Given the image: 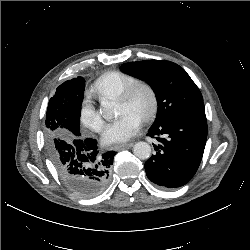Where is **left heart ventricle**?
<instances>
[{
  "mask_svg": "<svg viewBox=\"0 0 250 250\" xmlns=\"http://www.w3.org/2000/svg\"><path fill=\"white\" fill-rule=\"evenodd\" d=\"M148 107L149 97L147 93L143 90L138 91L133 97V99L128 103L118 101L119 114L129 112L141 118V116L145 113Z\"/></svg>",
  "mask_w": 250,
  "mask_h": 250,
  "instance_id": "1",
  "label": "left heart ventricle"
}]
</instances>
